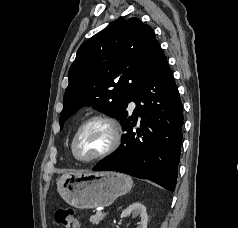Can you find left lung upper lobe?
Masks as SVG:
<instances>
[{
  "label": "left lung upper lobe",
  "mask_w": 238,
  "mask_h": 228,
  "mask_svg": "<svg viewBox=\"0 0 238 228\" xmlns=\"http://www.w3.org/2000/svg\"><path fill=\"white\" fill-rule=\"evenodd\" d=\"M160 49L153 29L138 18L118 19L84 42L69 69V85L59 123L83 106L107 113L122 124L137 88Z\"/></svg>",
  "instance_id": "5c2ea615"
}]
</instances>
